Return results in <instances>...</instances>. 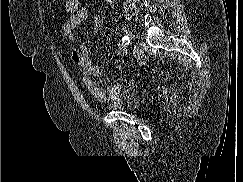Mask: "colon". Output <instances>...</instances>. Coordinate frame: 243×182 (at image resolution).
<instances>
[{"mask_svg": "<svg viewBox=\"0 0 243 182\" xmlns=\"http://www.w3.org/2000/svg\"><path fill=\"white\" fill-rule=\"evenodd\" d=\"M64 9L68 13H76L79 9V0H64Z\"/></svg>", "mask_w": 243, "mask_h": 182, "instance_id": "colon-1", "label": "colon"}]
</instances>
